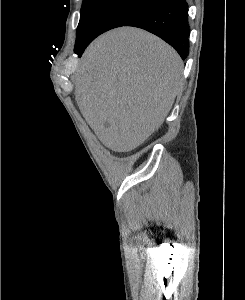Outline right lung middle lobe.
<instances>
[{"mask_svg":"<svg viewBox=\"0 0 245 300\" xmlns=\"http://www.w3.org/2000/svg\"><path fill=\"white\" fill-rule=\"evenodd\" d=\"M157 0H83L77 28V46H87L98 35L124 26L156 3Z\"/></svg>","mask_w":245,"mask_h":300,"instance_id":"dd1d6c3e","label":"right lung middle lobe"}]
</instances>
